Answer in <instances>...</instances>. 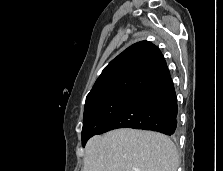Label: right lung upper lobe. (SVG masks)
Instances as JSON below:
<instances>
[{"instance_id": "cb5924a9", "label": "right lung upper lobe", "mask_w": 223, "mask_h": 171, "mask_svg": "<svg viewBox=\"0 0 223 171\" xmlns=\"http://www.w3.org/2000/svg\"><path fill=\"white\" fill-rule=\"evenodd\" d=\"M169 75L165 59L151 42L135 43L113 59L102 71L86 103L117 94H139Z\"/></svg>"}]
</instances>
